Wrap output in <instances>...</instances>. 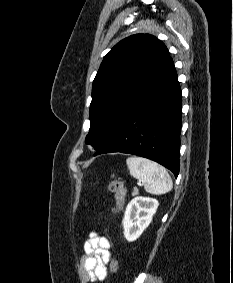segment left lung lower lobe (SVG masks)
Here are the masks:
<instances>
[{
  "label": "left lung lower lobe",
  "mask_w": 233,
  "mask_h": 283,
  "mask_svg": "<svg viewBox=\"0 0 233 283\" xmlns=\"http://www.w3.org/2000/svg\"><path fill=\"white\" fill-rule=\"evenodd\" d=\"M182 96L168 57L153 73L135 104L107 142L94 154L123 152L154 160L177 177Z\"/></svg>",
  "instance_id": "1"
}]
</instances>
